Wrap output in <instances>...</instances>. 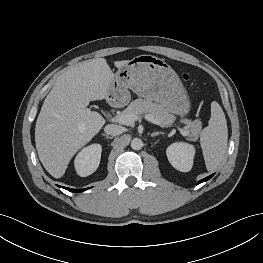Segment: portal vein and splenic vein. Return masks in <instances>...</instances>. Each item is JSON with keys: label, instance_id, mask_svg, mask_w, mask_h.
Listing matches in <instances>:
<instances>
[{"label": "portal vein and splenic vein", "instance_id": "obj_1", "mask_svg": "<svg viewBox=\"0 0 263 263\" xmlns=\"http://www.w3.org/2000/svg\"><path fill=\"white\" fill-rule=\"evenodd\" d=\"M144 118H145V120H147V121H149V122H151L153 124H156V125H159L161 127H164L159 120H157L156 118H154L153 116H151L149 114H146L144 116ZM137 119H138V117L133 115V114H125V115L120 114V115L115 116V120L118 123L123 124V125H127V126L132 125ZM177 129L183 136H188L189 135V132L187 130H185L184 128H179L178 127Z\"/></svg>", "mask_w": 263, "mask_h": 263}]
</instances>
